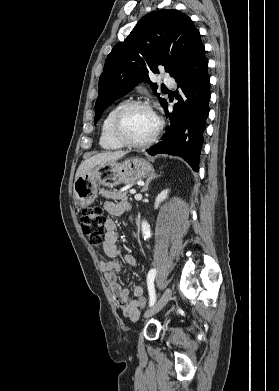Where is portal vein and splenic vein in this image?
Segmentation results:
<instances>
[{"mask_svg": "<svg viewBox=\"0 0 279 391\" xmlns=\"http://www.w3.org/2000/svg\"><path fill=\"white\" fill-rule=\"evenodd\" d=\"M129 192H130V194H135L136 190L135 189H131Z\"/></svg>", "mask_w": 279, "mask_h": 391, "instance_id": "1", "label": "portal vein and splenic vein"}]
</instances>
